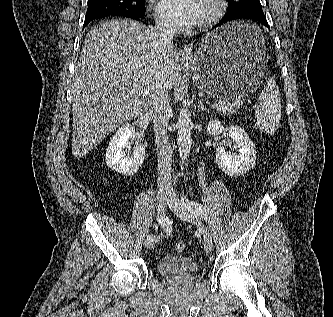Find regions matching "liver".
Instances as JSON below:
<instances>
[{
	"label": "liver",
	"mask_w": 333,
	"mask_h": 317,
	"mask_svg": "<svg viewBox=\"0 0 333 317\" xmlns=\"http://www.w3.org/2000/svg\"><path fill=\"white\" fill-rule=\"evenodd\" d=\"M178 60L154 29L112 19L87 34L72 84V153L82 158L107 135L142 115L152 104L155 83L173 87Z\"/></svg>",
	"instance_id": "1"
}]
</instances>
